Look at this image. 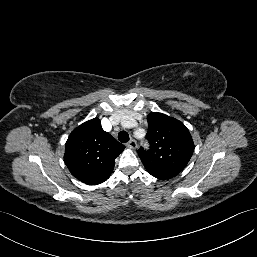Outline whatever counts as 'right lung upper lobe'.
Here are the masks:
<instances>
[{
  "mask_svg": "<svg viewBox=\"0 0 257 257\" xmlns=\"http://www.w3.org/2000/svg\"><path fill=\"white\" fill-rule=\"evenodd\" d=\"M124 148L94 118L71 132L65 145L64 162L79 181L97 185L109 178L114 160Z\"/></svg>",
  "mask_w": 257,
  "mask_h": 257,
  "instance_id": "right-lung-upper-lobe-1",
  "label": "right lung upper lobe"
}]
</instances>
